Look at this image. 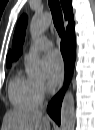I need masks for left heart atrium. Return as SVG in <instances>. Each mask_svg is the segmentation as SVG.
Listing matches in <instances>:
<instances>
[{
  "label": "left heart atrium",
  "instance_id": "1",
  "mask_svg": "<svg viewBox=\"0 0 95 130\" xmlns=\"http://www.w3.org/2000/svg\"><path fill=\"white\" fill-rule=\"evenodd\" d=\"M47 82L55 86L63 74V60L57 51L48 53L43 59Z\"/></svg>",
  "mask_w": 95,
  "mask_h": 130
}]
</instances>
